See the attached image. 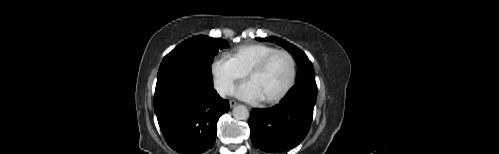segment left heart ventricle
Listing matches in <instances>:
<instances>
[{
	"label": "left heart ventricle",
	"instance_id": "left-heart-ventricle-1",
	"mask_svg": "<svg viewBox=\"0 0 499 154\" xmlns=\"http://www.w3.org/2000/svg\"><path fill=\"white\" fill-rule=\"evenodd\" d=\"M290 71L289 59L280 54L263 71L251 75L249 81L256 86L262 99H269L282 91L289 80Z\"/></svg>",
	"mask_w": 499,
	"mask_h": 154
}]
</instances>
